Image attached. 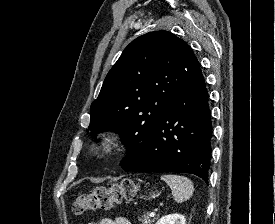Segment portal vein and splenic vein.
I'll list each match as a JSON object with an SVG mask.
<instances>
[{"label": "portal vein and splenic vein", "instance_id": "1", "mask_svg": "<svg viewBox=\"0 0 275 224\" xmlns=\"http://www.w3.org/2000/svg\"><path fill=\"white\" fill-rule=\"evenodd\" d=\"M155 212L154 211H152L151 213H150V217H154L155 216Z\"/></svg>", "mask_w": 275, "mask_h": 224}]
</instances>
